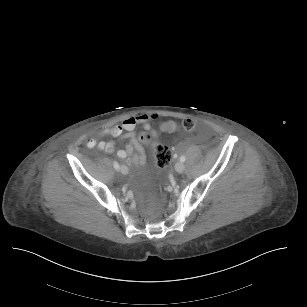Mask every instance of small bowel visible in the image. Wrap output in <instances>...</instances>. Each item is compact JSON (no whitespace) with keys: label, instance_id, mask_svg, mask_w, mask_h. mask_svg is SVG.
I'll list each match as a JSON object with an SVG mask.
<instances>
[{"label":"small bowel","instance_id":"small-bowel-1","mask_svg":"<svg viewBox=\"0 0 307 307\" xmlns=\"http://www.w3.org/2000/svg\"><path fill=\"white\" fill-rule=\"evenodd\" d=\"M156 115L139 114L126 118L121 124L105 129L102 135H109L112 137H121L129 140V144L124 148L116 151L115 144L112 141H97L91 138L87 141V146L90 148L98 147L106 153H113L116 151L119 159H129L130 162L137 167H143L147 161V155L140 140L137 138L135 128L137 126L145 127L151 126L150 121L155 119Z\"/></svg>","mask_w":307,"mask_h":307}]
</instances>
